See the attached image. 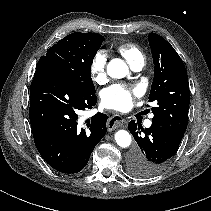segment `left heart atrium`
Instances as JSON below:
<instances>
[{
  "instance_id": "left-heart-atrium-1",
  "label": "left heart atrium",
  "mask_w": 211,
  "mask_h": 211,
  "mask_svg": "<svg viewBox=\"0 0 211 211\" xmlns=\"http://www.w3.org/2000/svg\"><path fill=\"white\" fill-rule=\"evenodd\" d=\"M138 94L137 88L114 84L102 91L101 101L105 108L126 111L132 107L134 98Z\"/></svg>"
}]
</instances>
